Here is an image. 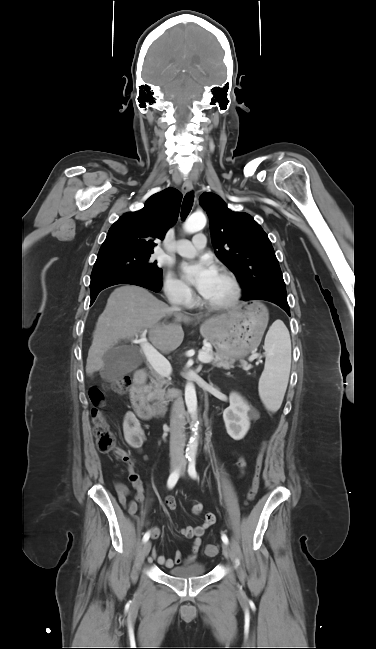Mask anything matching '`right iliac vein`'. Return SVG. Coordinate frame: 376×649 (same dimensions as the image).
Returning a JSON list of instances; mask_svg holds the SVG:
<instances>
[{"mask_svg":"<svg viewBox=\"0 0 376 649\" xmlns=\"http://www.w3.org/2000/svg\"><path fill=\"white\" fill-rule=\"evenodd\" d=\"M177 465H178V461H176V460L172 461L171 470H175ZM150 550H151V542L147 541V542H145V544L143 545V548H142V557L145 558L149 554Z\"/></svg>","mask_w":376,"mask_h":649,"instance_id":"obj_1","label":"right iliac vein"}]
</instances>
